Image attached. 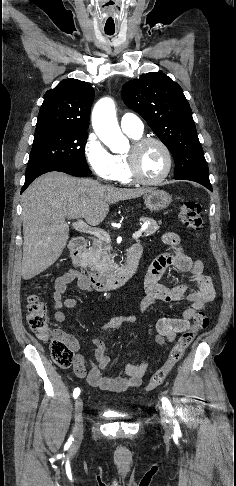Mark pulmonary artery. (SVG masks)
Instances as JSON below:
<instances>
[{
  "label": "pulmonary artery",
  "instance_id": "e3ab8cb5",
  "mask_svg": "<svg viewBox=\"0 0 236 486\" xmlns=\"http://www.w3.org/2000/svg\"><path fill=\"white\" fill-rule=\"evenodd\" d=\"M121 129L132 135H142L144 125L142 120L133 113H125L120 120Z\"/></svg>",
  "mask_w": 236,
  "mask_h": 486
}]
</instances>
